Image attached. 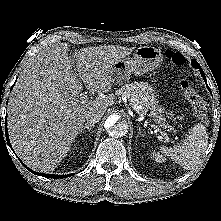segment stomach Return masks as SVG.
Listing matches in <instances>:
<instances>
[{"instance_id": "obj_1", "label": "stomach", "mask_w": 221, "mask_h": 221, "mask_svg": "<svg viewBox=\"0 0 221 221\" xmlns=\"http://www.w3.org/2000/svg\"><path fill=\"white\" fill-rule=\"evenodd\" d=\"M163 61V55L160 49L153 46L138 47L132 57H126L119 60L112 69L113 83L121 85L130 79L131 74L143 75L159 68ZM142 90L156 99L158 91L152 85L141 83Z\"/></svg>"}]
</instances>
